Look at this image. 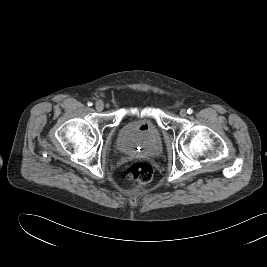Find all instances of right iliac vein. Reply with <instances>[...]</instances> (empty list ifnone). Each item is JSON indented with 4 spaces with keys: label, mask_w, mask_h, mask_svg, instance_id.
Instances as JSON below:
<instances>
[{
    "label": "right iliac vein",
    "mask_w": 267,
    "mask_h": 267,
    "mask_svg": "<svg viewBox=\"0 0 267 267\" xmlns=\"http://www.w3.org/2000/svg\"><path fill=\"white\" fill-rule=\"evenodd\" d=\"M95 108L98 112H101L104 109V104L101 101L96 102Z\"/></svg>",
    "instance_id": "right-iliac-vein-1"
}]
</instances>
